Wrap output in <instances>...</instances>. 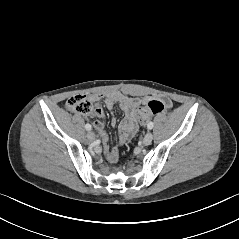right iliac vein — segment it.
<instances>
[{"instance_id":"right-iliac-vein-1","label":"right iliac vein","mask_w":239,"mask_h":239,"mask_svg":"<svg viewBox=\"0 0 239 239\" xmlns=\"http://www.w3.org/2000/svg\"><path fill=\"white\" fill-rule=\"evenodd\" d=\"M95 133L93 131H88L87 138L91 141L95 140Z\"/></svg>"}]
</instances>
